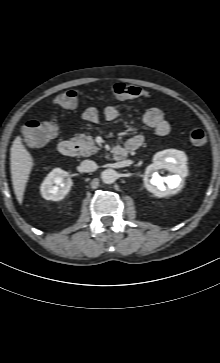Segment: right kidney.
Listing matches in <instances>:
<instances>
[{
  "label": "right kidney",
  "mask_w": 220,
  "mask_h": 363,
  "mask_svg": "<svg viewBox=\"0 0 220 363\" xmlns=\"http://www.w3.org/2000/svg\"><path fill=\"white\" fill-rule=\"evenodd\" d=\"M72 186L69 174L60 169H53L41 184V194L46 200L58 201L65 197Z\"/></svg>",
  "instance_id": "ca27d5eb"
}]
</instances>
